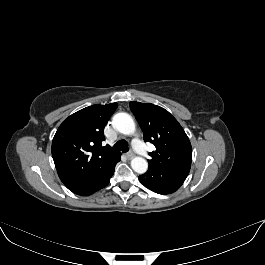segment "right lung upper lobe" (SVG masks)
<instances>
[{"instance_id": "obj_1", "label": "right lung upper lobe", "mask_w": 265, "mask_h": 265, "mask_svg": "<svg viewBox=\"0 0 265 265\" xmlns=\"http://www.w3.org/2000/svg\"><path fill=\"white\" fill-rule=\"evenodd\" d=\"M117 103L92 105L66 118L52 141V157L64 185L70 189L96 174L121 154L102 147L104 127Z\"/></svg>"}]
</instances>
